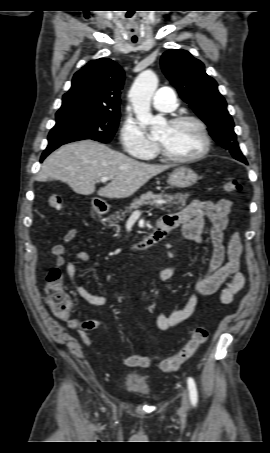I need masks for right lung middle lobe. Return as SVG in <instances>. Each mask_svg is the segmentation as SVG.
<instances>
[{"mask_svg":"<svg viewBox=\"0 0 270 453\" xmlns=\"http://www.w3.org/2000/svg\"><path fill=\"white\" fill-rule=\"evenodd\" d=\"M120 114L78 112L56 117L48 136L49 144H65L92 139L108 143L118 127Z\"/></svg>","mask_w":270,"mask_h":453,"instance_id":"obj_1","label":"right lung middle lobe"}]
</instances>
